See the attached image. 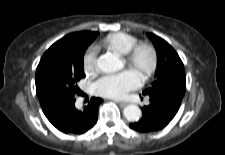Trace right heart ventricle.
Listing matches in <instances>:
<instances>
[{
    "mask_svg": "<svg viewBox=\"0 0 225 155\" xmlns=\"http://www.w3.org/2000/svg\"><path fill=\"white\" fill-rule=\"evenodd\" d=\"M137 42V38L129 33L114 32L108 34L100 43L103 49L124 55Z\"/></svg>",
    "mask_w": 225,
    "mask_h": 155,
    "instance_id": "right-heart-ventricle-1",
    "label": "right heart ventricle"
}]
</instances>
